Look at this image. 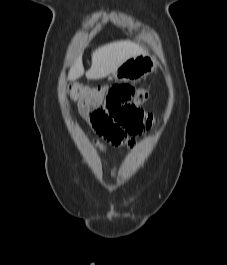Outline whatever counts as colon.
<instances>
[{"instance_id":"obj_1","label":"colon","mask_w":227,"mask_h":265,"mask_svg":"<svg viewBox=\"0 0 227 265\" xmlns=\"http://www.w3.org/2000/svg\"><path fill=\"white\" fill-rule=\"evenodd\" d=\"M68 93L79 102H103L107 116L130 135L140 134L152 124V116L145 115L140 108L150 99L146 89L124 83L110 86L73 83Z\"/></svg>"}]
</instances>
